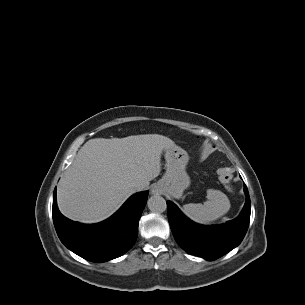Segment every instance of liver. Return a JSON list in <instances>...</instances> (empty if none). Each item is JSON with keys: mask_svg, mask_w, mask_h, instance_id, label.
Returning <instances> with one entry per match:
<instances>
[{"mask_svg": "<svg viewBox=\"0 0 305 305\" xmlns=\"http://www.w3.org/2000/svg\"><path fill=\"white\" fill-rule=\"evenodd\" d=\"M175 143L158 134L96 138L78 151L57 187V204L67 218L98 223L113 215L161 171V154Z\"/></svg>", "mask_w": 305, "mask_h": 305, "instance_id": "1", "label": "liver"}]
</instances>
